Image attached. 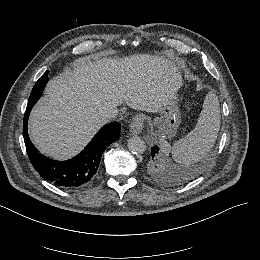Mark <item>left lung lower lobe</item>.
<instances>
[{
    "label": "left lung lower lobe",
    "mask_w": 260,
    "mask_h": 260,
    "mask_svg": "<svg viewBox=\"0 0 260 260\" xmlns=\"http://www.w3.org/2000/svg\"><path fill=\"white\" fill-rule=\"evenodd\" d=\"M151 150L154 155L158 153V148L156 146H154V148H152Z\"/></svg>",
    "instance_id": "left-lung-lower-lobe-1"
}]
</instances>
